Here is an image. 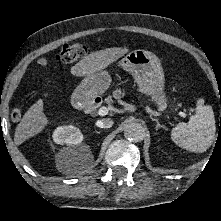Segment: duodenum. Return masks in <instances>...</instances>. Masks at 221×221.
<instances>
[{"label":"duodenum","instance_id":"obj_1","mask_svg":"<svg viewBox=\"0 0 221 221\" xmlns=\"http://www.w3.org/2000/svg\"><path fill=\"white\" fill-rule=\"evenodd\" d=\"M101 99L98 97L85 98L83 96L75 97V105L86 113L94 112L100 105Z\"/></svg>","mask_w":221,"mask_h":221}]
</instances>
